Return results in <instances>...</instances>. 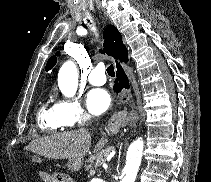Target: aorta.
Instances as JSON below:
<instances>
[{
  "mask_svg": "<svg viewBox=\"0 0 211 182\" xmlns=\"http://www.w3.org/2000/svg\"><path fill=\"white\" fill-rule=\"evenodd\" d=\"M58 87L66 97H73L78 87L77 67L72 61L62 65L58 73ZM144 142L137 139L131 143L126 156L124 167L125 176L120 182H135L141 164Z\"/></svg>",
  "mask_w": 211,
  "mask_h": 182,
  "instance_id": "762f6f07",
  "label": "aorta"
}]
</instances>
